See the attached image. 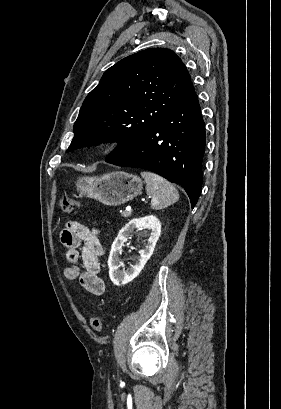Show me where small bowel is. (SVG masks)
<instances>
[{
    "label": "small bowel",
    "mask_w": 281,
    "mask_h": 409,
    "mask_svg": "<svg viewBox=\"0 0 281 409\" xmlns=\"http://www.w3.org/2000/svg\"><path fill=\"white\" fill-rule=\"evenodd\" d=\"M60 241L66 248L65 257L69 263L64 276L77 281L86 291L102 295L105 286L99 275V259L103 254L99 231L77 221H68L60 233Z\"/></svg>",
    "instance_id": "c3829d8e"
}]
</instances>
